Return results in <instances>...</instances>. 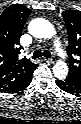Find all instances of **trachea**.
Masks as SVG:
<instances>
[{"label":"trachea","instance_id":"trachea-1","mask_svg":"<svg viewBox=\"0 0 81 124\" xmlns=\"http://www.w3.org/2000/svg\"><path fill=\"white\" fill-rule=\"evenodd\" d=\"M41 56H44L46 58H51V53L48 50H44L41 52L40 50H36L33 55L31 56L32 59H37Z\"/></svg>","mask_w":81,"mask_h":124}]
</instances>
